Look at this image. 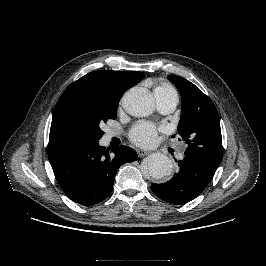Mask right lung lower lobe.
<instances>
[{
  "mask_svg": "<svg viewBox=\"0 0 266 266\" xmlns=\"http://www.w3.org/2000/svg\"><path fill=\"white\" fill-rule=\"evenodd\" d=\"M112 152L99 146V141L49 138L48 158L60 187L68 198L84 206L106 199L118 168L138 159L130 147L119 146Z\"/></svg>",
  "mask_w": 266,
  "mask_h": 266,
  "instance_id": "obj_1",
  "label": "right lung lower lobe"
}]
</instances>
